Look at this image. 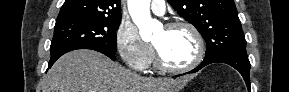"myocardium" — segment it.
I'll list each match as a JSON object with an SVG mask.
<instances>
[{
  "label": "myocardium",
  "instance_id": "obj_1",
  "mask_svg": "<svg viewBox=\"0 0 289 92\" xmlns=\"http://www.w3.org/2000/svg\"><path fill=\"white\" fill-rule=\"evenodd\" d=\"M166 28L168 29H176V28H185L188 29L195 41H196V45H197V53L196 56L194 58V60L189 63L188 65L182 66V67H177V66H171L168 63L165 62V60L163 59V57L161 56L160 52L158 51L157 48L156 49V60H157V64L158 66L166 71V72H170V73H185V72H189L193 69H195L197 66H199L201 64V62L204 59L205 56V41L204 38L201 34V32L198 30V28L188 22V21H175V22H171L169 24H167Z\"/></svg>",
  "mask_w": 289,
  "mask_h": 92
}]
</instances>
